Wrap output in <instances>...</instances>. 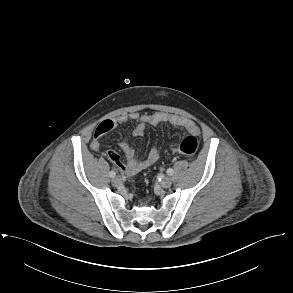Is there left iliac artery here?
<instances>
[{
    "label": "left iliac artery",
    "mask_w": 293,
    "mask_h": 293,
    "mask_svg": "<svg viewBox=\"0 0 293 293\" xmlns=\"http://www.w3.org/2000/svg\"><path fill=\"white\" fill-rule=\"evenodd\" d=\"M173 173H174L173 169L169 168V169L167 170V174H168L169 176L173 175Z\"/></svg>",
    "instance_id": "44dca946"
}]
</instances>
